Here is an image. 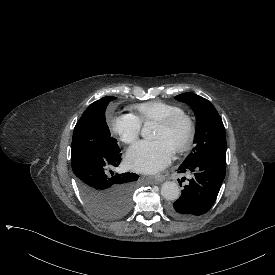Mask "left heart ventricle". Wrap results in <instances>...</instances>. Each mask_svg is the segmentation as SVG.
Masks as SVG:
<instances>
[{"label": "left heart ventricle", "instance_id": "1", "mask_svg": "<svg viewBox=\"0 0 275 275\" xmlns=\"http://www.w3.org/2000/svg\"><path fill=\"white\" fill-rule=\"evenodd\" d=\"M183 125H179L177 129L170 133L166 131L164 128L158 126L157 129L155 130L152 139L155 140H165L168 142L172 147H174L175 143L178 141L183 136Z\"/></svg>", "mask_w": 275, "mask_h": 275}]
</instances>
